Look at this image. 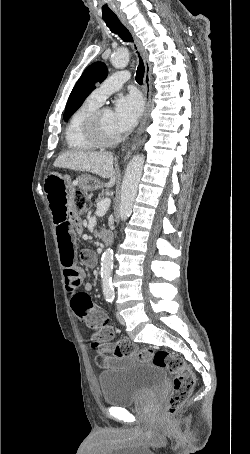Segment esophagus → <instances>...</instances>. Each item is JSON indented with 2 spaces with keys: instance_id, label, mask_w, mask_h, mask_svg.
Masks as SVG:
<instances>
[{
  "instance_id": "esophagus-1",
  "label": "esophagus",
  "mask_w": 250,
  "mask_h": 454,
  "mask_svg": "<svg viewBox=\"0 0 250 454\" xmlns=\"http://www.w3.org/2000/svg\"><path fill=\"white\" fill-rule=\"evenodd\" d=\"M118 17H119L120 21L125 25V27L131 32V34L134 38V41L136 43V46L143 58L144 65H145L144 86H143L145 111H144L142 122L138 128V134L140 135L143 133V131L145 129L147 118H148V115L150 112V98H151V91H152V85H151L152 84V68H151V64L148 60V52L143 47L140 39L136 36L128 19L124 15H118Z\"/></svg>"
}]
</instances>
